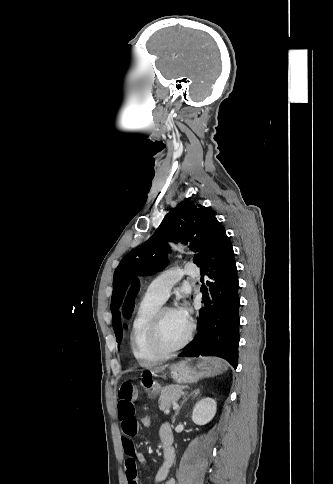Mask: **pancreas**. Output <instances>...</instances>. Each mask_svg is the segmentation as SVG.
Wrapping results in <instances>:
<instances>
[{
	"instance_id": "obj_1",
	"label": "pancreas",
	"mask_w": 333,
	"mask_h": 484,
	"mask_svg": "<svg viewBox=\"0 0 333 484\" xmlns=\"http://www.w3.org/2000/svg\"><path fill=\"white\" fill-rule=\"evenodd\" d=\"M183 389L184 387L180 385H169L163 388L159 398V409L162 411L169 409L183 396Z\"/></svg>"
}]
</instances>
